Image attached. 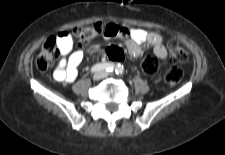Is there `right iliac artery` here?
Listing matches in <instances>:
<instances>
[{"instance_id": "right-iliac-artery-1", "label": "right iliac artery", "mask_w": 225, "mask_h": 155, "mask_svg": "<svg viewBox=\"0 0 225 155\" xmlns=\"http://www.w3.org/2000/svg\"><path fill=\"white\" fill-rule=\"evenodd\" d=\"M115 69V65L112 63H98L95 64L92 68H91V72L95 73V72H99V71H109L112 72Z\"/></svg>"}]
</instances>
